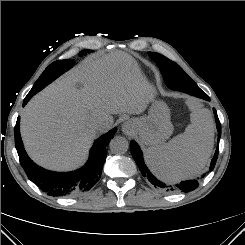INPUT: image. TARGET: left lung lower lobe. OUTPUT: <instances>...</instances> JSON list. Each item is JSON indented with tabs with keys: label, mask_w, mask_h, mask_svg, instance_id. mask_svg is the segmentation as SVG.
Segmentation results:
<instances>
[{
	"label": "left lung lower lobe",
	"mask_w": 245,
	"mask_h": 245,
	"mask_svg": "<svg viewBox=\"0 0 245 245\" xmlns=\"http://www.w3.org/2000/svg\"><path fill=\"white\" fill-rule=\"evenodd\" d=\"M172 89L188 93L190 95L205 99L207 101L210 100L208 95L205 92H203L198 86H195L192 88L189 86L188 82L184 83V84L177 85V86L173 87ZM213 112H214V116H215V120H216V127H217V131H218V142H217L216 152H215L214 157H213L211 164H210V171L213 170V168L216 164L217 158H218L219 140H220V136H221V123L219 121V118L217 116V112H216L215 108H213ZM130 147H131L132 156H133L138 168L140 169L142 175L144 177H147L148 180L153 185H155V187H160L162 189H165L166 191H182V192L191 191V190H194L198 187V185H199L198 180H187V181H183L180 184L175 185V186H166L164 183L157 180L151 174V172L148 170V168L146 167V165L144 163L142 151H141L140 147L138 146V144L134 141H131Z\"/></svg>",
	"instance_id": "0a47b994"
}]
</instances>
